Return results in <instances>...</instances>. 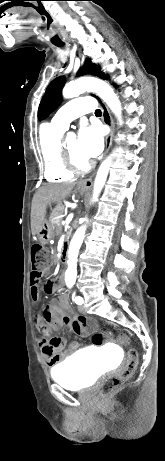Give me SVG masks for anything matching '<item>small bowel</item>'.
I'll return each instance as SVG.
<instances>
[{
  "mask_svg": "<svg viewBox=\"0 0 165 461\" xmlns=\"http://www.w3.org/2000/svg\"><path fill=\"white\" fill-rule=\"evenodd\" d=\"M61 280H48L42 288L39 282L30 281V297L33 302L40 299L41 289L45 294H53L60 289ZM34 324L39 330L41 337L39 339V348L46 364L49 367H54L66 356L78 351L80 348L83 351H102L104 334L102 332H93L90 340L86 337L95 330L96 324L88 318L80 315H73L69 303V297L66 293H62L57 299L46 305L41 315L34 317ZM68 326L70 330L84 337L82 344L74 341L71 342L66 352H63L66 342L62 337L53 336V332L57 331L62 326Z\"/></svg>",
  "mask_w": 165,
  "mask_h": 461,
  "instance_id": "obj_1",
  "label": "small bowel"
}]
</instances>
